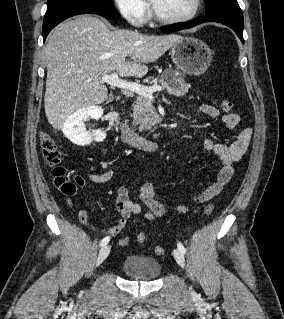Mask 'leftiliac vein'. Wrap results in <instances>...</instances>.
<instances>
[{"instance_id":"1","label":"left iliac vein","mask_w":284,"mask_h":319,"mask_svg":"<svg viewBox=\"0 0 284 319\" xmlns=\"http://www.w3.org/2000/svg\"><path fill=\"white\" fill-rule=\"evenodd\" d=\"M173 256H174L176 262H177L181 267H184V266H185L184 255H183V253H182L179 249H175V250L173 251Z\"/></svg>"}]
</instances>
